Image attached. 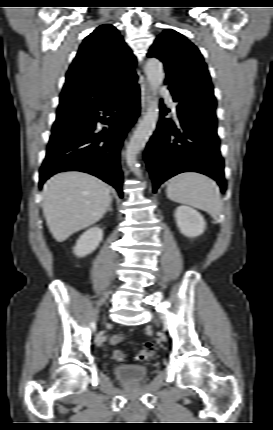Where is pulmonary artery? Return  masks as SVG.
I'll list each match as a JSON object with an SVG mask.
<instances>
[{
	"mask_svg": "<svg viewBox=\"0 0 273 430\" xmlns=\"http://www.w3.org/2000/svg\"><path fill=\"white\" fill-rule=\"evenodd\" d=\"M160 94L163 97H165V98L168 99V101L170 102V105H171V107L173 109V112L176 113V105H175V103L173 102V100L171 98L170 92L165 87H161L160 88Z\"/></svg>",
	"mask_w": 273,
	"mask_h": 430,
	"instance_id": "e3ab8cb5",
	"label": "pulmonary artery"
}]
</instances>
